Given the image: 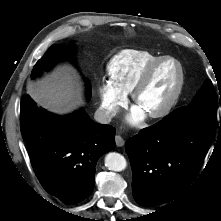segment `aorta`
I'll use <instances>...</instances> for the list:
<instances>
[{
    "label": "aorta",
    "instance_id": "1",
    "mask_svg": "<svg viewBox=\"0 0 221 221\" xmlns=\"http://www.w3.org/2000/svg\"><path fill=\"white\" fill-rule=\"evenodd\" d=\"M126 159L123 155L111 152L108 153L105 157V166L112 171H122L126 168Z\"/></svg>",
    "mask_w": 221,
    "mask_h": 221
}]
</instances>
